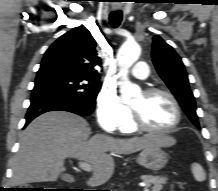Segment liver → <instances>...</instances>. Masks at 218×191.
Listing matches in <instances>:
<instances>
[{"label": "liver", "instance_id": "6515ba94", "mask_svg": "<svg viewBox=\"0 0 218 191\" xmlns=\"http://www.w3.org/2000/svg\"><path fill=\"white\" fill-rule=\"evenodd\" d=\"M90 134L86 120L69 112L51 111L37 117L21 135L11 184L56 181L64 170V159L72 157L88 162L93 170L90 182L100 185L114 172L111 154H131L154 145L170 147L176 143L165 134L130 139L96 134L88 139Z\"/></svg>", "mask_w": 218, "mask_h": 191}]
</instances>
